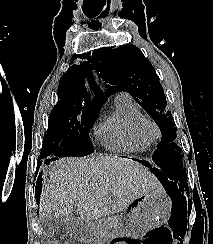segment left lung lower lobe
<instances>
[{
	"label": "left lung lower lobe",
	"instance_id": "0a47b994",
	"mask_svg": "<svg viewBox=\"0 0 213 244\" xmlns=\"http://www.w3.org/2000/svg\"><path fill=\"white\" fill-rule=\"evenodd\" d=\"M154 161V173L157 175V177L159 178V180L165 185V184H169V185H173L175 186L174 182L169 178V172L167 170V165L163 160H158V159H153ZM143 164H145L146 166L151 167V165L146 162V161H141Z\"/></svg>",
	"mask_w": 213,
	"mask_h": 244
}]
</instances>
